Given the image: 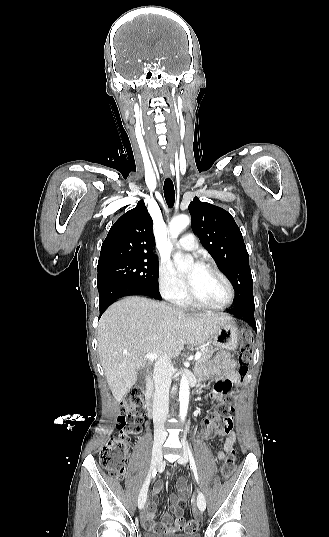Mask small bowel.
<instances>
[{
	"label": "small bowel",
	"mask_w": 329,
	"mask_h": 537,
	"mask_svg": "<svg viewBox=\"0 0 329 537\" xmlns=\"http://www.w3.org/2000/svg\"><path fill=\"white\" fill-rule=\"evenodd\" d=\"M206 375L209 377H221L215 382V391H206L204 393L206 398H217L219 393L223 397L228 396L231 393L233 382L238 381L240 378L236 368V362L227 353H220L211 361ZM215 436L223 443V450L218 451L216 454V459L222 461L229 455L236 440L235 434L232 431V425L227 429L218 430L211 424L205 423V439L210 440ZM162 487V483L157 482L153 488L152 499L146 504L142 512L143 526L146 530L156 533H177L184 529V509L182 503L188 498L190 490L186 481L180 479L177 482L179 494H171L169 496L171 512L175 516V520H172L169 514H165L163 521L156 522V509Z\"/></svg>",
	"instance_id": "small-bowel-1"
}]
</instances>
